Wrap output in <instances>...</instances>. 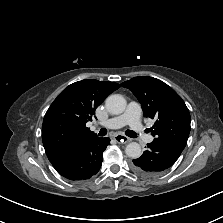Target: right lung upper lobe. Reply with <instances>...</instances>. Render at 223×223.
Returning <instances> with one entry per match:
<instances>
[{
  "label": "right lung upper lobe",
  "mask_w": 223,
  "mask_h": 223,
  "mask_svg": "<svg viewBox=\"0 0 223 223\" xmlns=\"http://www.w3.org/2000/svg\"><path fill=\"white\" fill-rule=\"evenodd\" d=\"M119 84L86 79L66 87L47 110L42 127V140L51 161L77 150L97 137L86 127L95 109Z\"/></svg>",
  "instance_id": "cb5924a9"
}]
</instances>
